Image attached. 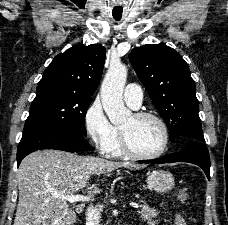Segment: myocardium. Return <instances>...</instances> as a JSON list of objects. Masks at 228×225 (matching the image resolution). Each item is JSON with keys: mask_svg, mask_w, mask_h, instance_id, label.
<instances>
[{"mask_svg": "<svg viewBox=\"0 0 228 225\" xmlns=\"http://www.w3.org/2000/svg\"><path fill=\"white\" fill-rule=\"evenodd\" d=\"M134 117L137 119H145V118H152L156 120L164 131V143L162 148L155 154L152 155H145L141 154L136 151L129 142L127 134L121 129V146L124 153L132 158L139 159V160H155L162 157L168 149L170 143V130L167 123L164 121L162 117L157 114L150 113V112H137L134 114Z\"/></svg>", "mask_w": 228, "mask_h": 225, "instance_id": "myocardium-1", "label": "myocardium"}]
</instances>
